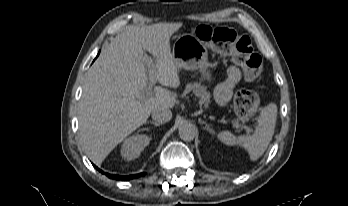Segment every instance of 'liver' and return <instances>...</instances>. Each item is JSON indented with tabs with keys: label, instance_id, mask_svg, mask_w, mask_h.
Here are the masks:
<instances>
[{
	"label": "liver",
	"instance_id": "1",
	"mask_svg": "<svg viewBox=\"0 0 348 206\" xmlns=\"http://www.w3.org/2000/svg\"><path fill=\"white\" fill-rule=\"evenodd\" d=\"M181 26H131L102 49L86 77L79 110L81 142L95 164L143 125L155 108L174 107L176 92L160 86L153 95L145 92L150 76L162 86H180L170 38Z\"/></svg>",
	"mask_w": 348,
	"mask_h": 206
}]
</instances>
